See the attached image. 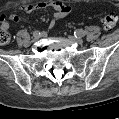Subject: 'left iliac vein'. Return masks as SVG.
<instances>
[{
	"label": "left iliac vein",
	"mask_w": 119,
	"mask_h": 119,
	"mask_svg": "<svg viewBox=\"0 0 119 119\" xmlns=\"http://www.w3.org/2000/svg\"><path fill=\"white\" fill-rule=\"evenodd\" d=\"M69 40H71L72 42H75L79 45L83 44V40L81 38H76L72 35L68 36Z\"/></svg>",
	"instance_id": "1"
}]
</instances>
